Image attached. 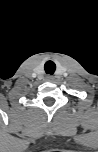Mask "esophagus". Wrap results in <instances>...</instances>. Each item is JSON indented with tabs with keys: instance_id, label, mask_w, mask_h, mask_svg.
Returning <instances> with one entry per match:
<instances>
[{
	"instance_id": "1",
	"label": "esophagus",
	"mask_w": 98,
	"mask_h": 152,
	"mask_svg": "<svg viewBox=\"0 0 98 152\" xmlns=\"http://www.w3.org/2000/svg\"><path fill=\"white\" fill-rule=\"evenodd\" d=\"M53 79H54V77H53L52 75H47V76L45 77V80H46V81H49V82H52Z\"/></svg>"
}]
</instances>
